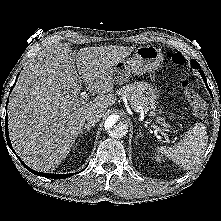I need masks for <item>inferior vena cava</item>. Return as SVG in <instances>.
<instances>
[{
	"label": "inferior vena cava",
	"instance_id": "obj_1",
	"mask_svg": "<svg viewBox=\"0 0 221 221\" xmlns=\"http://www.w3.org/2000/svg\"><path fill=\"white\" fill-rule=\"evenodd\" d=\"M104 114H105V111L93 110V111L88 112L85 118L88 123L94 124V123L99 122Z\"/></svg>",
	"mask_w": 221,
	"mask_h": 221
}]
</instances>
